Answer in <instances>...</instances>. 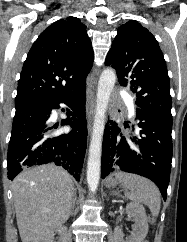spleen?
<instances>
[{"label": "spleen", "mask_w": 187, "mask_h": 242, "mask_svg": "<svg viewBox=\"0 0 187 242\" xmlns=\"http://www.w3.org/2000/svg\"><path fill=\"white\" fill-rule=\"evenodd\" d=\"M117 179L125 188V196L136 203L147 205L153 216L160 211L161 194L158 187L149 179L130 173H118Z\"/></svg>", "instance_id": "1"}]
</instances>
